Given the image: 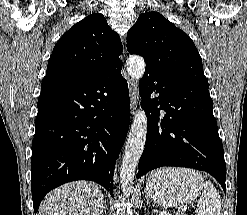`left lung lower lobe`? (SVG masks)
Segmentation results:
<instances>
[{
	"label": "left lung lower lobe",
	"instance_id": "obj_1",
	"mask_svg": "<svg viewBox=\"0 0 247 215\" xmlns=\"http://www.w3.org/2000/svg\"><path fill=\"white\" fill-rule=\"evenodd\" d=\"M139 93L148 130L137 178L162 166L188 167L211 174L226 193V163L208 88L146 69Z\"/></svg>",
	"mask_w": 247,
	"mask_h": 215
}]
</instances>
